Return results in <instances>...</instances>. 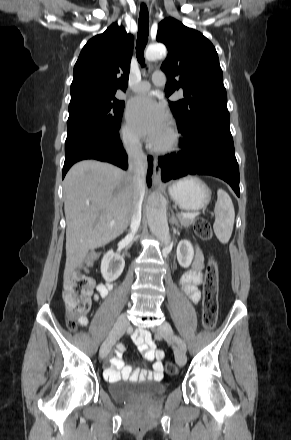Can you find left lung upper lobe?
<instances>
[{"label":"left lung upper lobe","instance_id":"5c2ea615","mask_svg":"<svg viewBox=\"0 0 291 440\" xmlns=\"http://www.w3.org/2000/svg\"><path fill=\"white\" fill-rule=\"evenodd\" d=\"M156 39L168 49L162 64L168 77L166 96L183 90V99L169 101L179 132L186 133L207 119L229 117L223 73L213 44L174 18L159 23Z\"/></svg>","mask_w":291,"mask_h":440}]
</instances>
